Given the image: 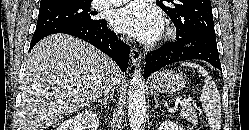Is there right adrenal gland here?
I'll return each mask as SVG.
<instances>
[{"instance_id": "right-adrenal-gland-1", "label": "right adrenal gland", "mask_w": 249, "mask_h": 130, "mask_svg": "<svg viewBox=\"0 0 249 130\" xmlns=\"http://www.w3.org/2000/svg\"><path fill=\"white\" fill-rule=\"evenodd\" d=\"M111 99V96H105L104 98L97 99L95 102L101 103L103 107L106 109L107 108V101Z\"/></svg>"}]
</instances>
